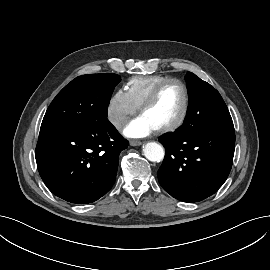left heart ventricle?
<instances>
[{
	"instance_id": "1",
	"label": "left heart ventricle",
	"mask_w": 270,
	"mask_h": 270,
	"mask_svg": "<svg viewBox=\"0 0 270 270\" xmlns=\"http://www.w3.org/2000/svg\"><path fill=\"white\" fill-rule=\"evenodd\" d=\"M184 104V92L177 83L167 85L156 101L141 115L156 129L174 122L181 114Z\"/></svg>"
}]
</instances>
